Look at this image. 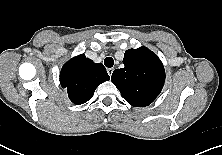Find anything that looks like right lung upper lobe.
<instances>
[{"label": "right lung upper lobe", "mask_w": 222, "mask_h": 155, "mask_svg": "<svg viewBox=\"0 0 222 155\" xmlns=\"http://www.w3.org/2000/svg\"><path fill=\"white\" fill-rule=\"evenodd\" d=\"M110 77L102 63H94L84 54L70 59L60 73L61 86L67 89L68 97L75 104L91 99L95 89Z\"/></svg>", "instance_id": "obj_1"}]
</instances>
